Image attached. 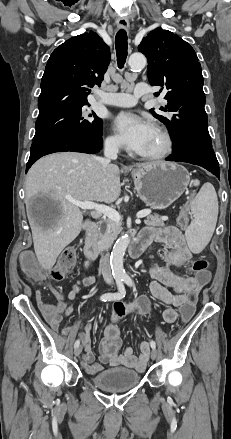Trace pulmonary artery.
Returning a JSON list of instances; mask_svg holds the SVG:
<instances>
[{"instance_id":"obj_1","label":"pulmonary artery","mask_w":231,"mask_h":439,"mask_svg":"<svg viewBox=\"0 0 231 439\" xmlns=\"http://www.w3.org/2000/svg\"><path fill=\"white\" fill-rule=\"evenodd\" d=\"M148 93V86L144 83L137 84L133 94L124 92L105 93L101 96V102L111 106L132 107L137 103L139 97Z\"/></svg>"}]
</instances>
